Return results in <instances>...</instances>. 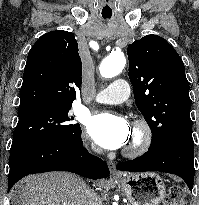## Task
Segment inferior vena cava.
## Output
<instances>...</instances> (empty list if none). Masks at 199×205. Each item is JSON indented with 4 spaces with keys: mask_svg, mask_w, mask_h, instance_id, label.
I'll return each mask as SVG.
<instances>
[{
    "mask_svg": "<svg viewBox=\"0 0 199 205\" xmlns=\"http://www.w3.org/2000/svg\"><path fill=\"white\" fill-rule=\"evenodd\" d=\"M85 196L87 199V205H103L100 197L88 187L85 188Z\"/></svg>",
    "mask_w": 199,
    "mask_h": 205,
    "instance_id": "602c4592",
    "label": "inferior vena cava"
}]
</instances>
